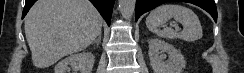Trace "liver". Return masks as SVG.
<instances>
[{
  "instance_id": "6515ba94",
  "label": "liver",
  "mask_w": 244,
  "mask_h": 73,
  "mask_svg": "<svg viewBox=\"0 0 244 73\" xmlns=\"http://www.w3.org/2000/svg\"><path fill=\"white\" fill-rule=\"evenodd\" d=\"M24 27L33 64L46 68L93 43L102 18L88 0H38Z\"/></svg>"
}]
</instances>
